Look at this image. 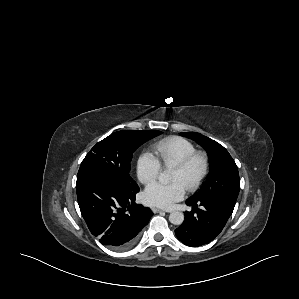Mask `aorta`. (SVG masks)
<instances>
[{"instance_id":"aorta-1","label":"aorta","mask_w":299,"mask_h":299,"mask_svg":"<svg viewBox=\"0 0 299 299\" xmlns=\"http://www.w3.org/2000/svg\"><path fill=\"white\" fill-rule=\"evenodd\" d=\"M158 179L159 182L162 184L169 183L171 179L169 171L165 170L162 173H160ZM169 221L174 225H181L184 221V214L180 211H173L169 215Z\"/></svg>"}]
</instances>
